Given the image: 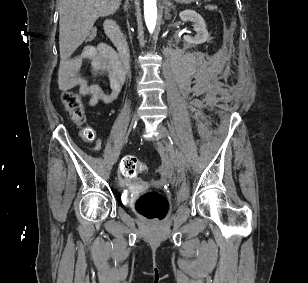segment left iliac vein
<instances>
[{"label": "left iliac vein", "instance_id": "1", "mask_svg": "<svg viewBox=\"0 0 308 283\" xmlns=\"http://www.w3.org/2000/svg\"><path fill=\"white\" fill-rule=\"evenodd\" d=\"M158 130L161 133V135L164 137L165 141L169 142L168 137L169 135H172V133L162 124L158 125ZM175 157H176L177 165L181 170L188 168L187 160L180 151L175 152Z\"/></svg>", "mask_w": 308, "mask_h": 283}]
</instances>
